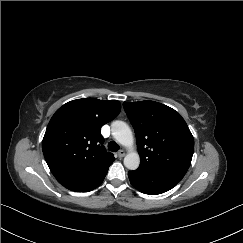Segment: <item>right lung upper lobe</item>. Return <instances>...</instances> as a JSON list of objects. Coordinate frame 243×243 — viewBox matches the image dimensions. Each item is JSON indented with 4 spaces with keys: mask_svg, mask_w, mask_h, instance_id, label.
I'll return each mask as SVG.
<instances>
[{
    "mask_svg": "<svg viewBox=\"0 0 243 243\" xmlns=\"http://www.w3.org/2000/svg\"><path fill=\"white\" fill-rule=\"evenodd\" d=\"M117 100L83 98L70 101L52 116L43 141L45 160L59 183L86 176L114 161L106 152L101 127L120 112Z\"/></svg>",
    "mask_w": 243,
    "mask_h": 243,
    "instance_id": "right-lung-upper-lobe-1",
    "label": "right lung upper lobe"
}]
</instances>
